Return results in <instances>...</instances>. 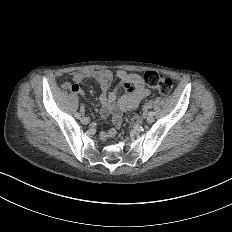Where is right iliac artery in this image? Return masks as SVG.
Masks as SVG:
<instances>
[{"label": "right iliac artery", "instance_id": "obj_1", "mask_svg": "<svg viewBox=\"0 0 232 232\" xmlns=\"http://www.w3.org/2000/svg\"><path fill=\"white\" fill-rule=\"evenodd\" d=\"M75 117H76L77 119H79L81 116H80L79 113H75Z\"/></svg>", "mask_w": 232, "mask_h": 232}]
</instances>
